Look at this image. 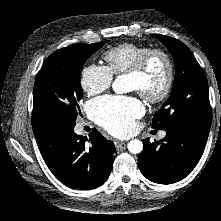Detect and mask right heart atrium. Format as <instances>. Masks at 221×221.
Returning <instances> with one entry per match:
<instances>
[{
	"instance_id": "obj_1",
	"label": "right heart atrium",
	"mask_w": 221,
	"mask_h": 221,
	"mask_svg": "<svg viewBox=\"0 0 221 221\" xmlns=\"http://www.w3.org/2000/svg\"><path fill=\"white\" fill-rule=\"evenodd\" d=\"M113 76L105 66L90 63L81 72V86L89 96H95L110 88Z\"/></svg>"
}]
</instances>
